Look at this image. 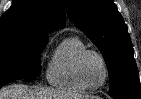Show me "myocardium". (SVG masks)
Returning a JSON list of instances; mask_svg holds the SVG:
<instances>
[{
    "label": "myocardium",
    "mask_w": 141,
    "mask_h": 99,
    "mask_svg": "<svg viewBox=\"0 0 141 99\" xmlns=\"http://www.w3.org/2000/svg\"><path fill=\"white\" fill-rule=\"evenodd\" d=\"M91 54L96 55L101 60V62L103 64V67H104V72H105L104 79H103L102 83H100L99 85H96V86L90 85L85 80V78L83 76V63H84V60L88 55H91ZM76 75H77L78 80L80 81V83L82 85H84L87 89L97 90V89L102 88L106 84V82L108 81L109 75H110L108 62H107L105 56L98 50L86 48L85 50H83L79 54V56L77 58V61H76Z\"/></svg>",
    "instance_id": "f54148a6"
}]
</instances>
